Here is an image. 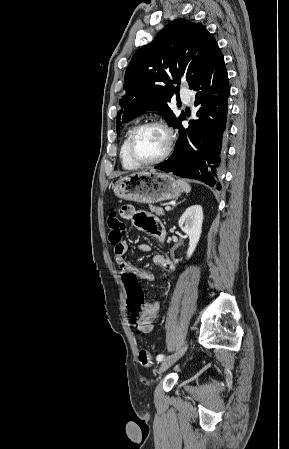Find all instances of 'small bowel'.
<instances>
[{"mask_svg": "<svg viewBox=\"0 0 289 449\" xmlns=\"http://www.w3.org/2000/svg\"><path fill=\"white\" fill-rule=\"evenodd\" d=\"M122 217L131 222L136 228L150 234L156 239L162 241L165 238V230L158 218L152 214L136 210L132 206H125L121 209ZM128 251V245L121 243L114 247V257L117 265L120 268V272L130 271L132 276L145 281H153L155 276L153 272L138 268L125 259V254ZM139 251L148 253L151 251V247L148 244H142L139 246ZM153 263L162 268L166 272H172L175 269L173 261L163 255L155 254L153 256ZM160 310V304L158 301H147L142 305L140 321L136 324V328L142 333H150L154 330V320L158 316Z\"/></svg>", "mask_w": 289, "mask_h": 449, "instance_id": "c3829d8e", "label": "small bowel"}]
</instances>
